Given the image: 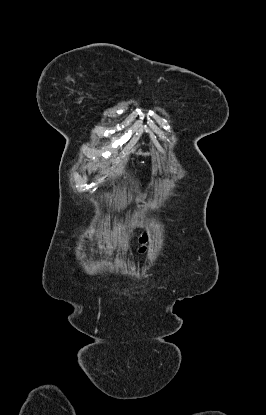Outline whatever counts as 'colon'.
<instances>
[{
  "mask_svg": "<svg viewBox=\"0 0 266 415\" xmlns=\"http://www.w3.org/2000/svg\"><path fill=\"white\" fill-rule=\"evenodd\" d=\"M139 244H140V251L144 252L146 250V244L148 241V236L146 234H143L142 236L139 237L138 239Z\"/></svg>",
  "mask_w": 266,
  "mask_h": 415,
  "instance_id": "1",
  "label": "colon"
}]
</instances>
